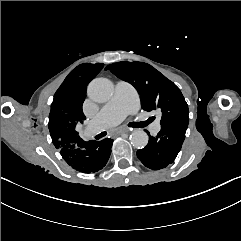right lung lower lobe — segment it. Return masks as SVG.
Instances as JSON below:
<instances>
[{
    "label": "right lung lower lobe",
    "mask_w": 241,
    "mask_h": 241,
    "mask_svg": "<svg viewBox=\"0 0 241 241\" xmlns=\"http://www.w3.org/2000/svg\"><path fill=\"white\" fill-rule=\"evenodd\" d=\"M113 140L105 138L101 141H83L65 144L59 149L61 156L73 169L83 173H94L107 163Z\"/></svg>",
    "instance_id": "right-lung-lower-lobe-1"
}]
</instances>
